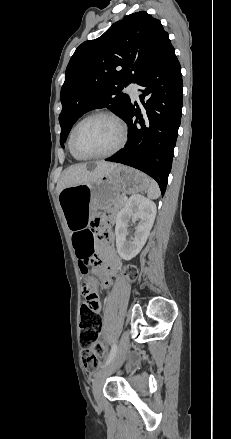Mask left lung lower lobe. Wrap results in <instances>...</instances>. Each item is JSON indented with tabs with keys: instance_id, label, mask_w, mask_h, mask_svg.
Wrapping results in <instances>:
<instances>
[{
	"instance_id": "0a47b994",
	"label": "left lung lower lobe",
	"mask_w": 231,
	"mask_h": 439,
	"mask_svg": "<svg viewBox=\"0 0 231 439\" xmlns=\"http://www.w3.org/2000/svg\"><path fill=\"white\" fill-rule=\"evenodd\" d=\"M143 105L130 103L121 117L128 125L126 146L106 161L143 171L165 193L183 106V83L173 46L137 82ZM145 100V101H144ZM133 116H137L133 121Z\"/></svg>"
}]
</instances>
